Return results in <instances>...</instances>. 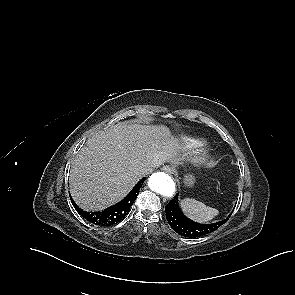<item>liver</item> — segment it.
I'll return each mask as SVG.
<instances>
[{"label":"liver","instance_id":"liver-1","mask_svg":"<svg viewBox=\"0 0 295 295\" xmlns=\"http://www.w3.org/2000/svg\"><path fill=\"white\" fill-rule=\"evenodd\" d=\"M180 147L165 126L119 122L89 138L70 171V192L86 211H101L123 199L144 176L164 162L179 163Z\"/></svg>","mask_w":295,"mask_h":295}]
</instances>
